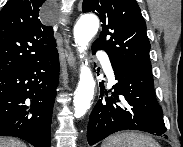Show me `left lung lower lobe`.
<instances>
[{
	"instance_id": "obj_1",
	"label": "left lung lower lobe",
	"mask_w": 183,
	"mask_h": 147,
	"mask_svg": "<svg viewBox=\"0 0 183 147\" xmlns=\"http://www.w3.org/2000/svg\"><path fill=\"white\" fill-rule=\"evenodd\" d=\"M98 50L92 48L93 53ZM115 79L111 97L100 99L89 118L87 140L93 145L122 130H140L163 135L166 127L162 108L155 97L152 75L111 60ZM104 83H100L103 94ZM167 138V136H165Z\"/></svg>"
}]
</instances>
